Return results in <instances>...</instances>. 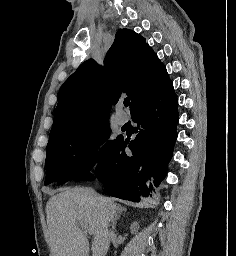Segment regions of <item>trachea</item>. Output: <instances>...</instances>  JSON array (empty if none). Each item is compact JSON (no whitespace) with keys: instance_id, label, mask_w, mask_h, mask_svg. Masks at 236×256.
<instances>
[{"instance_id":"1","label":"trachea","mask_w":236,"mask_h":256,"mask_svg":"<svg viewBox=\"0 0 236 256\" xmlns=\"http://www.w3.org/2000/svg\"><path fill=\"white\" fill-rule=\"evenodd\" d=\"M129 104H130V100L128 99V98H126L125 100H124V106H129Z\"/></svg>"}]
</instances>
